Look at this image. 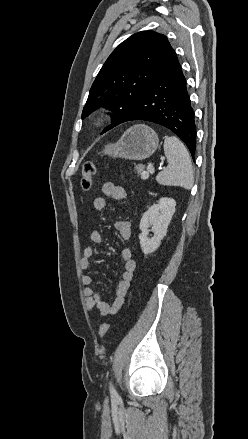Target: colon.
Returning a JSON list of instances; mask_svg holds the SVG:
<instances>
[{"mask_svg":"<svg viewBox=\"0 0 248 439\" xmlns=\"http://www.w3.org/2000/svg\"><path fill=\"white\" fill-rule=\"evenodd\" d=\"M96 174V165L94 162H86L82 167L81 173V187L85 191H89L93 186V178ZM111 329L110 323H104L101 325L98 335L99 338H104Z\"/></svg>","mask_w":248,"mask_h":439,"instance_id":"1","label":"colon"}]
</instances>
